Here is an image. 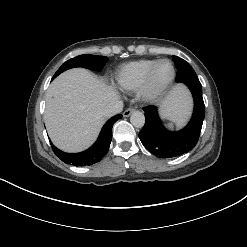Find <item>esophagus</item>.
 Listing matches in <instances>:
<instances>
[{
    "mask_svg": "<svg viewBox=\"0 0 247 247\" xmlns=\"http://www.w3.org/2000/svg\"><path fill=\"white\" fill-rule=\"evenodd\" d=\"M135 111V109L134 108H128V109H126L125 111H124V113H123V116L124 117H128V116H130L133 112Z\"/></svg>",
    "mask_w": 247,
    "mask_h": 247,
    "instance_id": "34e87169",
    "label": "esophagus"
}]
</instances>
